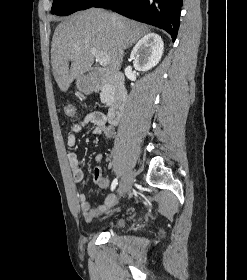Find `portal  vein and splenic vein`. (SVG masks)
<instances>
[{"label":"portal vein and splenic vein","instance_id":"1","mask_svg":"<svg viewBox=\"0 0 247 280\" xmlns=\"http://www.w3.org/2000/svg\"><path fill=\"white\" fill-rule=\"evenodd\" d=\"M75 50H78V46L74 47ZM92 55L96 58L101 66H107L109 64V57L102 53H99L96 49H90Z\"/></svg>","mask_w":247,"mask_h":280}]
</instances>
